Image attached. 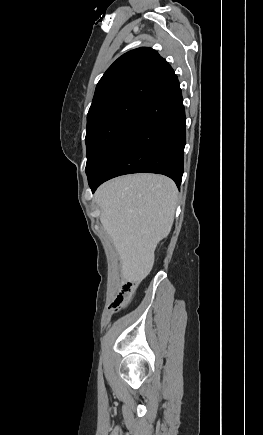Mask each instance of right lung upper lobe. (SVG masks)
<instances>
[{
	"instance_id": "1",
	"label": "right lung upper lobe",
	"mask_w": 263,
	"mask_h": 435,
	"mask_svg": "<svg viewBox=\"0 0 263 435\" xmlns=\"http://www.w3.org/2000/svg\"><path fill=\"white\" fill-rule=\"evenodd\" d=\"M177 78L155 50L140 47L119 57L98 82L88 116L95 108L120 101L145 103Z\"/></svg>"
}]
</instances>
